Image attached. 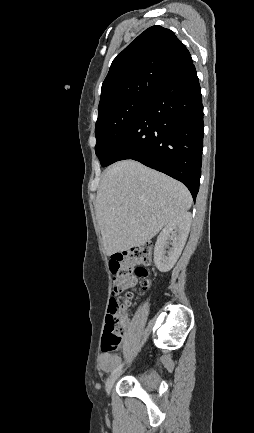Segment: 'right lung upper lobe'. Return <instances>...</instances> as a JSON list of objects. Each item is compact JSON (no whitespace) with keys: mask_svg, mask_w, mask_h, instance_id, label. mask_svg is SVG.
<instances>
[{"mask_svg":"<svg viewBox=\"0 0 254 433\" xmlns=\"http://www.w3.org/2000/svg\"><path fill=\"white\" fill-rule=\"evenodd\" d=\"M192 62L189 51L173 31L149 27L113 60L102 84L99 109L127 99H151L165 82Z\"/></svg>","mask_w":254,"mask_h":433,"instance_id":"obj_1","label":"right lung upper lobe"}]
</instances>
